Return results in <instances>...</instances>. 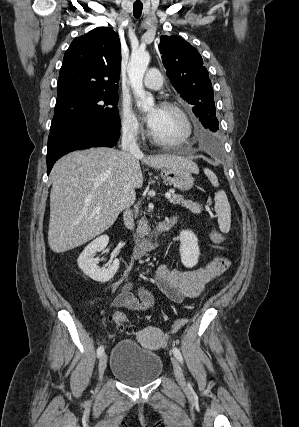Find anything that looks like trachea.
Here are the masks:
<instances>
[{"label": "trachea", "instance_id": "trachea-1", "mask_svg": "<svg viewBox=\"0 0 299 427\" xmlns=\"http://www.w3.org/2000/svg\"><path fill=\"white\" fill-rule=\"evenodd\" d=\"M143 5L142 4H134L133 6V15L136 19L141 17Z\"/></svg>", "mask_w": 299, "mask_h": 427}]
</instances>
